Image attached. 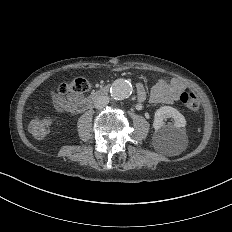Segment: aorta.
I'll return each instance as SVG.
<instances>
[{
    "label": "aorta",
    "mask_w": 232,
    "mask_h": 232,
    "mask_svg": "<svg viewBox=\"0 0 232 232\" xmlns=\"http://www.w3.org/2000/svg\"><path fill=\"white\" fill-rule=\"evenodd\" d=\"M132 93V85L124 79L114 81L111 86V96L114 99L122 100L129 97Z\"/></svg>",
    "instance_id": "1"
}]
</instances>
